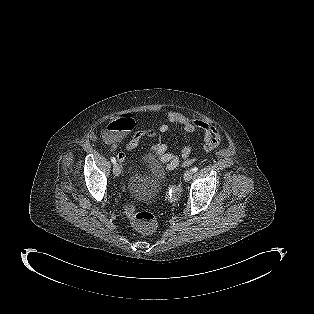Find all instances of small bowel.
I'll use <instances>...</instances> for the list:
<instances>
[{"label": "small bowel", "instance_id": "obj_1", "mask_svg": "<svg viewBox=\"0 0 314 314\" xmlns=\"http://www.w3.org/2000/svg\"><path fill=\"white\" fill-rule=\"evenodd\" d=\"M178 125L185 133L200 132L203 135V149L205 152H211L216 149L221 141L222 135L219 129L213 124L199 119H190L178 112L171 111L167 115V119L162 122L157 128L143 129L136 131L126 145V151L135 150L142 139L151 138L155 140L152 147L153 152L158 156L159 160L166 164L168 170L176 169L181 163L187 165L191 162V147L186 145L182 148L181 157L170 153L168 145L160 141L162 134L167 133L171 129V125ZM117 142L111 143V148L114 150L117 147ZM117 158L121 164H125L126 153L120 151Z\"/></svg>", "mask_w": 314, "mask_h": 314}]
</instances>
